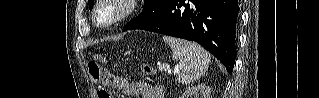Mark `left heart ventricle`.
Masks as SVG:
<instances>
[{"instance_id":"left-heart-ventricle-1","label":"left heart ventricle","mask_w":319,"mask_h":98,"mask_svg":"<svg viewBox=\"0 0 319 98\" xmlns=\"http://www.w3.org/2000/svg\"><path fill=\"white\" fill-rule=\"evenodd\" d=\"M120 13V7L116 5H106L103 6L98 14H99V22L107 23L115 18Z\"/></svg>"}]
</instances>
